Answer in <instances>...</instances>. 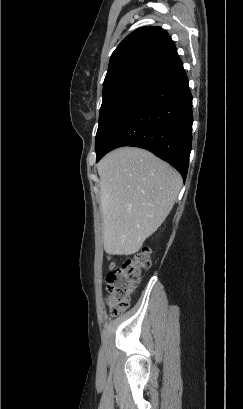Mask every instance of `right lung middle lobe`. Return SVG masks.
Here are the masks:
<instances>
[{
	"mask_svg": "<svg viewBox=\"0 0 243 409\" xmlns=\"http://www.w3.org/2000/svg\"><path fill=\"white\" fill-rule=\"evenodd\" d=\"M159 81L160 79L153 77L135 76L115 82L104 90L95 142L96 155L116 128Z\"/></svg>",
	"mask_w": 243,
	"mask_h": 409,
	"instance_id": "1",
	"label": "right lung middle lobe"
}]
</instances>
